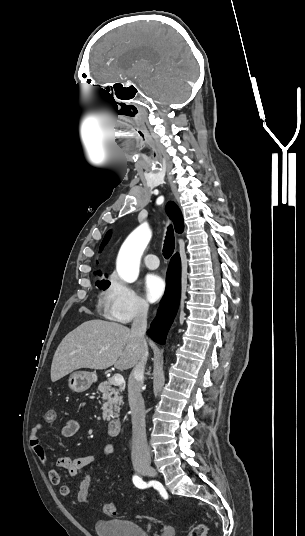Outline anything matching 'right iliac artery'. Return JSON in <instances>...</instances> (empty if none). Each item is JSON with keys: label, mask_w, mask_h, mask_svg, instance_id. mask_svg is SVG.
I'll use <instances>...</instances> for the list:
<instances>
[{"label": "right iliac artery", "mask_w": 305, "mask_h": 536, "mask_svg": "<svg viewBox=\"0 0 305 536\" xmlns=\"http://www.w3.org/2000/svg\"><path fill=\"white\" fill-rule=\"evenodd\" d=\"M133 483L136 487L140 488V489H144L146 487H148L149 485L144 482L139 476L135 475L133 476Z\"/></svg>", "instance_id": "82829eb1"}]
</instances>
